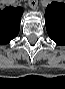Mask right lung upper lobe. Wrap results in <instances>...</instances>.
Returning <instances> with one entry per match:
<instances>
[{
    "label": "right lung upper lobe",
    "instance_id": "right-lung-upper-lobe-1",
    "mask_svg": "<svg viewBox=\"0 0 65 89\" xmlns=\"http://www.w3.org/2000/svg\"><path fill=\"white\" fill-rule=\"evenodd\" d=\"M22 14L21 7H6L0 11V44H7L18 35Z\"/></svg>",
    "mask_w": 65,
    "mask_h": 89
}]
</instances>
